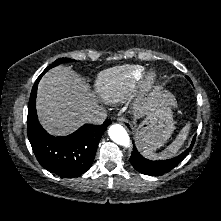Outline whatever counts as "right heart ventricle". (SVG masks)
<instances>
[{
  "mask_svg": "<svg viewBox=\"0 0 221 221\" xmlns=\"http://www.w3.org/2000/svg\"><path fill=\"white\" fill-rule=\"evenodd\" d=\"M143 72L144 68L139 65H123L105 70L96 79V92L108 103H119L132 92Z\"/></svg>",
  "mask_w": 221,
  "mask_h": 221,
  "instance_id": "e07e8e85",
  "label": "right heart ventricle"
}]
</instances>
